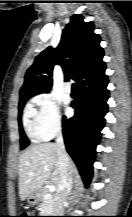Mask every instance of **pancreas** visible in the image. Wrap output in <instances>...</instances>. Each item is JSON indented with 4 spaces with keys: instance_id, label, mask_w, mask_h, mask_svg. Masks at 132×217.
<instances>
[{
    "instance_id": "pancreas-1",
    "label": "pancreas",
    "mask_w": 132,
    "mask_h": 217,
    "mask_svg": "<svg viewBox=\"0 0 132 217\" xmlns=\"http://www.w3.org/2000/svg\"><path fill=\"white\" fill-rule=\"evenodd\" d=\"M55 207L54 196L52 194H45L40 205L41 214L46 216L53 213Z\"/></svg>"
}]
</instances>
